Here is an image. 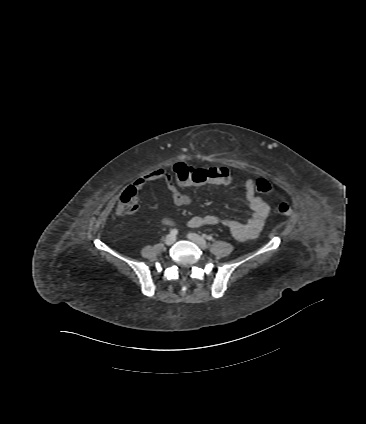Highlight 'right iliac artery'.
Instances as JSON below:
<instances>
[{
  "label": "right iliac artery",
  "mask_w": 366,
  "mask_h": 424,
  "mask_svg": "<svg viewBox=\"0 0 366 424\" xmlns=\"http://www.w3.org/2000/svg\"><path fill=\"white\" fill-rule=\"evenodd\" d=\"M177 233H178V230L177 229H172L170 231V234L173 235V236L177 235Z\"/></svg>",
  "instance_id": "1"
}]
</instances>
